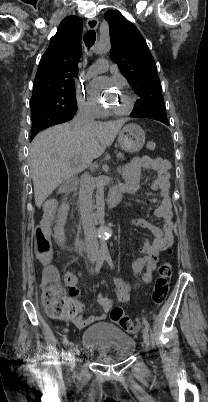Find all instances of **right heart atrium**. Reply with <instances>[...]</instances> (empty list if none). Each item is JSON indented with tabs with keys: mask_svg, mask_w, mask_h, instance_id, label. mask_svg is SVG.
<instances>
[{
	"mask_svg": "<svg viewBox=\"0 0 208 402\" xmlns=\"http://www.w3.org/2000/svg\"><path fill=\"white\" fill-rule=\"evenodd\" d=\"M76 98L81 110L92 119H98L104 115V110L98 99L90 94L86 88L78 87L76 89Z\"/></svg>",
	"mask_w": 208,
	"mask_h": 402,
	"instance_id": "obj_1",
	"label": "right heart atrium"
}]
</instances>
